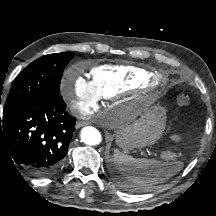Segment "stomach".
<instances>
[{
	"label": "stomach",
	"mask_w": 216,
	"mask_h": 216,
	"mask_svg": "<svg viewBox=\"0 0 216 216\" xmlns=\"http://www.w3.org/2000/svg\"><path fill=\"white\" fill-rule=\"evenodd\" d=\"M166 125V111L159 104L146 108L140 118L117 132V144L125 150L154 144Z\"/></svg>",
	"instance_id": "0dacf381"
}]
</instances>
